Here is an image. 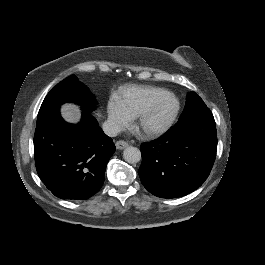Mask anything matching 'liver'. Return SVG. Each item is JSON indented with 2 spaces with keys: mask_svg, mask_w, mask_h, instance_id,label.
I'll use <instances>...</instances> for the list:
<instances>
[{
  "mask_svg": "<svg viewBox=\"0 0 265 265\" xmlns=\"http://www.w3.org/2000/svg\"><path fill=\"white\" fill-rule=\"evenodd\" d=\"M84 108L82 103L66 102L60 105L59 113L64 122L68 124H80ZM94 114L99 119L101 110H96Z\"/></svg>",
  "mask_w": 265,
  "mask_h": 265,
  "instance_id": "6515ba94",
  "label": "liver"
}]
</instances>
